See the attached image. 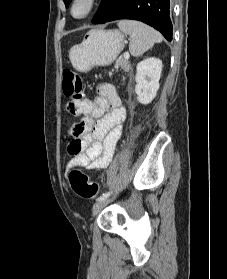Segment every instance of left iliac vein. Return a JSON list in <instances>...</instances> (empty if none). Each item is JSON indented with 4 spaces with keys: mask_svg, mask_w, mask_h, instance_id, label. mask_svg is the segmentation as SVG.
<instances>
[{
    "mask_svg": "<svg viewBox=\"0 0 227 279\" xmlns=\"http://www.w3.org/2000/svg\"><path fill=\"white\" fill-rule=\"evenodd\" d=\"M112 199L111 198H104L100 201H97L93 206V215H95L100 209L106 206Z\"/></svg>",
    "mask_w": 227,
    "mask_h": 279,
    "instance_id": "obj_1",
    "label": "left iliac vein"
}]
</instances>
